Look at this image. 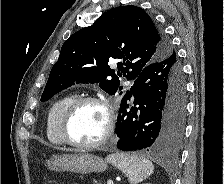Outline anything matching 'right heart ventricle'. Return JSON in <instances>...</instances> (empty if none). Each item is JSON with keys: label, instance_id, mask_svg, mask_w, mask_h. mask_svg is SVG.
<instances>
[{"label": "right heart ventricle", "instance_id": "right-heart-ventricle-1", "mask_svg": "<svg viewBox=\"0 0 224 184\" xmlns=\"http://www.w3.org/2000/svg\"><path fill=\"white\" fill-rule=\"evenodd\" d=\"M76 98L73 93L66 94L56 100L49 109L46 120V135L53 145L65 144L60 133L62 115L69 104Z\"/></svg>", "mask_w": 224, "mask_h": 184}]
</instances>
